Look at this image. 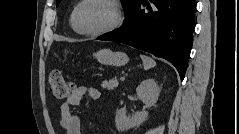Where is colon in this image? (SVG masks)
I'll list each match as a JSON object with an SVG mask.
<instances>
[{"mask_svg": "<svg viewBox=\"0 0 239 134\" xmlns=\"http://www.w3.org/2000/svg\"><path fill=\"white\" fill-rule=\"evenodd\" d=\"M49 88L57 98H66L71 95L73 84L64 78L61 71L53 70L49 74Z\"/></svg>", "mask_w": 239, "mask_h": 134, "instance_id": "colon-1", "label": "colon"}]
</instances>
